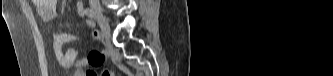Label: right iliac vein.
<instances>
[{"mask_svg": "<svg viewBox=\"0 0 333 76\" xmlns=\"http://www.w3.org/2000/svg\"><path fill=\"white\" fill-rule=\"evenodd\" d=\"M93 11L96 15L97 21L99 23V26L101 28V31H102L103 35L105 37L109 38L110 37V27H109V23H108L107 18L102 13L100 7L97 6V5L93 6Z\"/></svg>", "mask_w": 333, "mask_h": 76, "instance_id": "right-iliac-vein-1", "label": "right iliac vein"}]
</instances>
